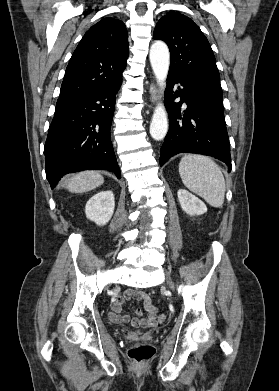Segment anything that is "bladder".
Masks as SVG:
<instances>
[{"instance_id":"bladder-1","label":"bladder","mask_w":279,"mask_h":391,"mask_svg":"<svg viewBox=\"0 0 279 391\" xmlns=\"http://www.w3.org/2000/svg\"><path fill=\"white\" fill-rule=\"evenodd\" d=\"M134 335H135L136 337H144L146 334L143 333V332H134Z\"/></svg>"}]
</instances>
